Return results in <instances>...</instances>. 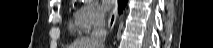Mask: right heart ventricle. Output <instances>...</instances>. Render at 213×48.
I'll list each match as a JSON object with an SVG mask.
<instances>
[{"instance_id": "e07e8e85", "label": "right heart ventricle", "mask_w": 213, "mask_h": 48, "mask_svg": "<svg viewBox=\"0 0 213 48\" xmlns=\"http://www.w3.org/2000/svg\"><path fill=\"white\" fill-rule=\"evenodd\" d=\"M69 29L74 31L76 29V23L75 22H70Z\"/></svg>"}]
</instances>
